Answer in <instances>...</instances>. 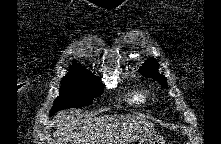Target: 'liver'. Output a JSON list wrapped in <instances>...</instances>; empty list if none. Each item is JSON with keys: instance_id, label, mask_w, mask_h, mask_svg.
Segmentation results:
<instances>
[{"instance_id": "liver-1", "label": "liver", "mask_w": 221, "mask_h": 144, "mask_svg": "<svg viewBox=\"0 0 221 144\" xmlns=\"http://www.w3.org/2000/svg\"><path fill=\"white\" fill-rule=\"evenodd\" d=\"M154 125L135 115L76 117L74 110L60 111L55 116L53 144H135L154 134Z\"/></svg>"}]
</instances>
